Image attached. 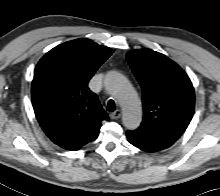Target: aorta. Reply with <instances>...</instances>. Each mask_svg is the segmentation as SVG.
I'll return each mask as SVG.
<instances>
[{
	"instance_id": "obj_1",
	"label": "aorta",
	"mask_w": 220,
	"mask_h": 196,
	"mask_svg": "<svg viewBox=\"0 0 220 196\" xmlns=\"http://www.w3.org/2000/svg\"><path fill=\"white\" fill-rule=\"evenodd\" d=\"M105 83L122 107L124 126L129 130L136 129L142 120L141 102L129 81L122 74L111 72Z\"/></svg>"
}]
</instances>
